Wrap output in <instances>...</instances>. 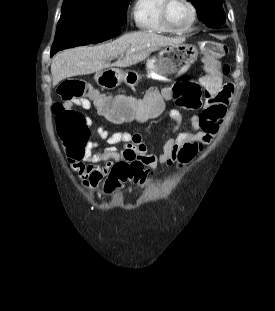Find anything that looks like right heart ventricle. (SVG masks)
I'll list each match as a JSON object with an SVG mask.
<instances>
[{"label":"right heart ventricle","instance_id":"1","mask_svg":"<svg viewBox=\"0 0 275 311\" xmlns=\"http://www.w3.org/2000/svg\"><path fill=\"white\" fill-rule=\"evenodd\" d=\"M164 0H135L132 17L136 27L147 33L170 34L161 19V6Z\"/></svg>","mask_w":275,"mask_h":311}]
</instances>
